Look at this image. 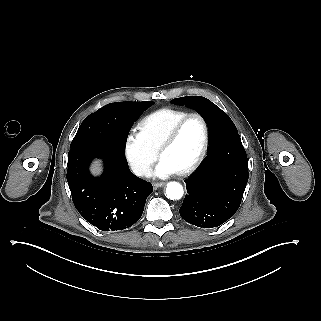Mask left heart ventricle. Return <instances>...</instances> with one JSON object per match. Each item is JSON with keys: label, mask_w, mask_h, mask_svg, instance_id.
Instances as JSON below:
<instances>
[{"label": "left heart ventricle", "mask_w": 321, "mask_h": 321, "mask_svg": "<svg viewBox=\"0 0 321 321\" xmlns=\"http://www.w3.org/2000/svg\"><path fill=\"white\" fill-rule=\"evenodd\" d=\"M203 142V127L198 118H192L180 128L171 143L160 147L162 156L170 158L180 170L186 169L198 155Z\"/></svg>", "instance_id": "1"}]
</instances>
